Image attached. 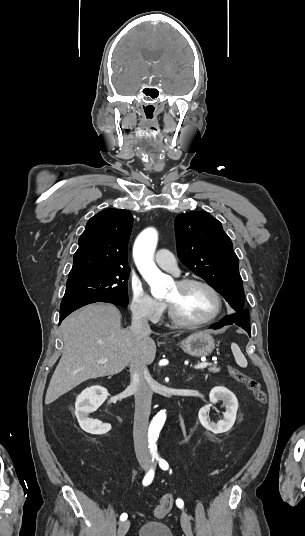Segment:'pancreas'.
I'll return each mask as SVG.
<instances>
[{"mask_svg": "<svg viewBox=\"0 0 305 536\" xmlns=\"http://www.w3.org/2000/svg\"><path fill=\"white\" fill-rule=\"evenodd\" d=\"M221 368H216V366H210L208 368V372H212V374H216V372H220Z\"/></svg>", "mask_w": 305, "mask_h": 536, "instance_id": "1", "label": "pancreas"}]
</instances>
